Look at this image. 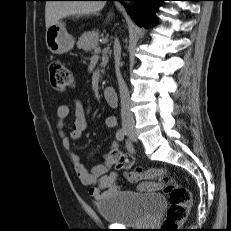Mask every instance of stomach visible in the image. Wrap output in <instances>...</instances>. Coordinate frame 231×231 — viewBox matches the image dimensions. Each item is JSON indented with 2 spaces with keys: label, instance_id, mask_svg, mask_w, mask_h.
Listing matches in <instances>:
<instances>
[{
  "label": "stomach",
  "instance_id": "0dacf381",
  "mask_svg": "<svg viewBox=\"0 0 231 231\" xmlns=\"http://www.w3.org/2000/svg\"><path fill=\"white\" fill-rule=\"evenodd\" d=\"M45 39L47 48L54 54L67 53L73 49L75 43L62 21H58L47 29Z\"/></svg>",
  "mask_w": 231,
  "mask_h": 231
}]
</instances>
